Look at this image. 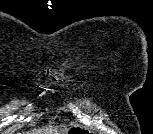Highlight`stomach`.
Here are the masks:
<instances>
[{
	"label": "stomach",
	"instance_id": "0dacf381",
	"mask_svg": "<svg viewBox=\"0 0 153 134\" xmlns=\"http://www.w3.org/2000/svg\"><path fill=\"white\" fill-rule=\"evenodd\" d=\"M84 132H86V130L79 126H73L68 130V134H81Z\"/></svg>",
	"mask_w": 153,
	"mask_h": 134
}]
</instances>
